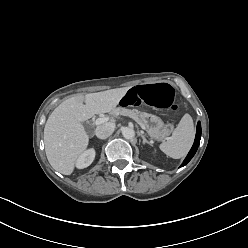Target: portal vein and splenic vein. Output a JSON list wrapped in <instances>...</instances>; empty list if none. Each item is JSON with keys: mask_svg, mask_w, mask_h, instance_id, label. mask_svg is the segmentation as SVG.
Returning a JSON list of instances; mask_svg holds the SVG:
<instances>
[{"mask_svg": "<svg viewBox=\"0 0 248 248\" xmlns=\"http://www.w3.org/2000/svg\"><path fill=\"white\" fill-rule=\"evenodd\" d=\"M107 121H108V117H100V118L96 119L95 124L100 125V124H103V123H105Z\"/></svg>", "mask_w": 248, "mask_h": 248, "instance_id": "obj_1", "label": "portal vein and splenic vein"}]
</instances>
